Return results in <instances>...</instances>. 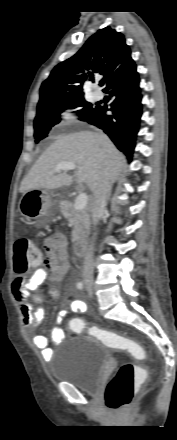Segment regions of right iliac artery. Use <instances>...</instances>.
<instances>
[{
    "mask_svg": "<svg viewBox=\"0 0 177 440\" xmlns=\"http://www.w3.org/2000/svg\"><path fill=\"white\" fill-rule=\"evenodd\" d=\"M76 286H77L78 289L81 290L83 288V283L82 282H78Z\"/></svg>",
    "mask_w": 177,
    "mask_h": 440,
    "instance_id": "1",
    "label": "right iliac artery"
}]
</instances>
